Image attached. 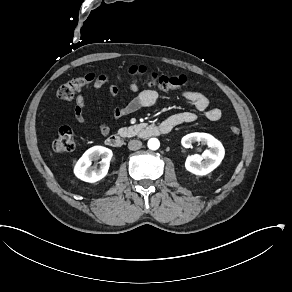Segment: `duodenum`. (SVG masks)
<instances>
[{"label":"duodenum","mask_w":292,"mask_h":292,"mask_svg":"<svg viewBox=\"0 0 292 292\" xmlns=\"http://www.w3.org/2000/svg\"><path fill=\"white\" fill-rule=\"evenodd\" d=\"M172 130L169 124H161L160 126L148 125L141 128L138 133L139 138H149L157 135L167 134ZM106 143L113 148H120L123 141L118 134H111L106 137Z\"/></svg>","instance_id":"1"}]
</instances>
